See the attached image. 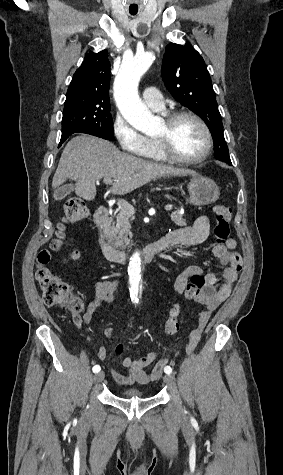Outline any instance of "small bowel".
<instances>
[{"label": "small bowel", "instance_id": "c3829d8e", "mask_svg": "<svg viewBox=\"0 0 283 475\" xmlns=\"http://www.w3.org/2000/svg\"><path fill=\"white\" fill-rule=\"evenodd\" d=\"M210 236V219L203 215L196 219L192 226L182 227L176 231H173L167 235V246H198L205 243ZM236 242L231 239L226 244H216L213 246V255L219 259L225 268L222 276L223 281L218 286V279L213 272H204L199 266H188L182 271L175 280L174 289L177 293L182 294V281L188 279L189 274H197V269H202L205 279L208 282L205 296H198V303L204 306L197 317L195 327L190 331L186 339L187 352H192L201 336L202 331L209 322L213 313L217 308L229 298L234 288V285L238 279L239 272L242 268V258L240 254L234 251ZM117 292V283L111 280L98 281L94 285V297L89 304L85 314L84 322L89 324L91 322L93 313L95 310L104 303H110L114 300ZM170 312H178L179 309L173 307ZM107 335L112 337V332L107 330ZM123 346L118 345L115 348V357L119 360L120 364L127 369L126 373H121L116 369H111L110 373L113 380L122 386L138 383L141 385H147L152 382H156L162 376L164 368L167 362H160L158 359L159 352H150L140 358L123 357ZM109 349L107 347H101L98 350L97 356L99 359L104 360L107 358ZM155 363V366L151 372H146L145 368Z\"/></svg>", "mask_w": 283, "mask_h": 475}]
</instances>
